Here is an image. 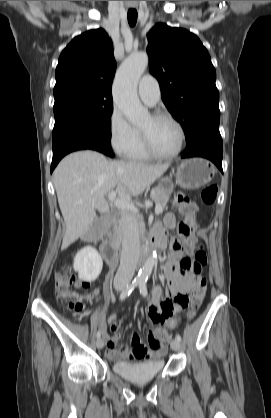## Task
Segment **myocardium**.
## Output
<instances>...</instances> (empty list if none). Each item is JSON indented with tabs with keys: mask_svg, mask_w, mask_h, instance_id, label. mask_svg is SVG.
<instances>
[{
	"mask_svg": "<svg viewBox=\"0 0 271 418\" xmlns=\"http://www.w3.org/2000/svg\"><path fill=\"white\" fill-rule=\"evenodd\" d=\"M151 117L155 120L157 119H167L169 121H171L178 129L179 131V135H180V141H179V145L177 147V149L169 154H162L159 153L158 151H156L154 149V147L151 144V141L149 139V136L147 134V132L143 129L140 130L141 132V136H142V140H143V144L145 147V150L147 151V153L154 158L157 159H172L174 157H176L177 155L180 154V152L182 151L184 145H185V141H186V133L185 130L182 126V124L170 113L167 112H163V111H157L154 112Z\"/></svg>",
	"mask_w": 271,
	"mask_h": 418,
	"instance_id": "1",
	"label": "myocardium"
}]
</instances>
